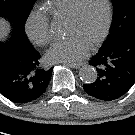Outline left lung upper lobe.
Wrapping results in <instances>:
<instances>
[{
  "instance_id": "5c2ea615",
  "label": "left lung upper lobe",
  "mask_w": 135,
  "mask_h": 135,
  "mask_svg": "<svg viewBox=\"0 0 135 135\" xmlns=\"http://www.w3.org/2000/svg\"><path fill=\"white\" fill-rule=\"evenodd\" d=\"M114 8V20L105 45L129 36L135 32V0H111Z\"/></svg>"
}]
</instances>
